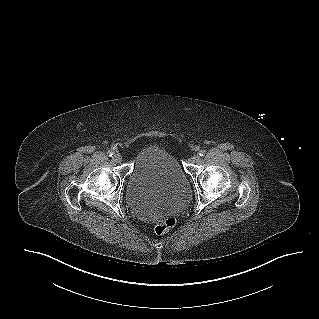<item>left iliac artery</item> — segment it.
I'll return each instance as SVG.
<instances>
[{"label": "left iliac artery", "instance_id": "obj_1", "mask_svg": "<svg viewBox=\"0 0 319 319\" xmlns=\"http://www.w3.org/2000/svg\"><path fill=\"white\" fill-rule=\"evenodd\" d=\"M206 154V151L205 150H201L200 152H199V155L200 156H204Z\"/></svg>", "mask_w": 319, "mask_h": 319}]
</instances>
